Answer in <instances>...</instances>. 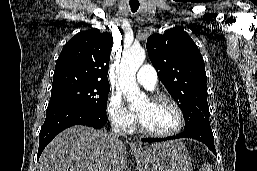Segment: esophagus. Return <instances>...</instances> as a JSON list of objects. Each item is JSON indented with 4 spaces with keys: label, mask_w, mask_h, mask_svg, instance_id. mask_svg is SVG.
Masks as SVG:
<instances>
[{
    "label": "esophagus",
    "mask_w": 257,
    "mask_h": 171,
    "mask_svg": "<svg viewBox=\"0 0 257 171\" xmlns=\"http://www.w3.org/2000/svg\"><path fill=\"white\" fill-rule=\"evenodd\" d=\"M134 149H139V146L137 144H133Z\"/></svg>",
    "instance_id": "obj_1"
}]
</instances>
